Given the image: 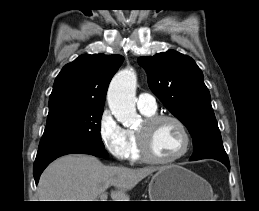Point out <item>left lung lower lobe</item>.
<instances>
[{"instance_id": "obj_1", "label": "left lung lower lobe", "mask_w": 259, "mask_h": 211, "mask_svg": "<svg viewBox=\"0 0 259 211\" xmlns=\"http://www.w3.org/2000/svg\"><path fill=\"white\" fill-rule=\"evenodd\" d=\"M216 160L222 162L228 168V170H230L229 160H223V159H216Z\"/></svg>"}]
</instances>
